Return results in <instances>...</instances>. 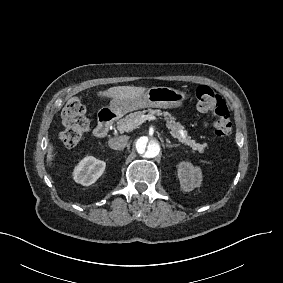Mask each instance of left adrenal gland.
I'll list each match as a JSON object with an SVG mask.
<instances>
[{
    "label": "left adrenal gland",
    "instance_id": "left-adrenal-gland-1",
    "mask_svg": "<svg viewBox=\"0 0 283 283\" xmlns=\"http://www.w3.org/2000/svg\"><path fill=\"white\" fill-rule=\"evenodd\" d=\"M180 146V144H166V147L171 148V147H177Z\"/></svg>",
    "mask_w": 283,
    "mask_h": 283
}]
</instances>
